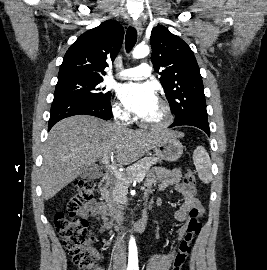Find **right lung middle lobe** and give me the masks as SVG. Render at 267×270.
Instances as JSON below:
<instances>
[{
  "mask_svg": "<svg viewBox=\"0 0 267 270\" xmlns=\"http://www.w3.org/2000/svg\"><path fill=\"white\" fill-rule=\"evenodd\" d=\"M103 79L67 76L58 78L54 99H71L82 102H109L111 92H104L99 84Z\"/></svg>",
  "mask_w": 267,
  "mask_h": 270,
  "instance_id": "dd1d6c3e",
  "label": "right lung middle lobe"
}]
</instances>
